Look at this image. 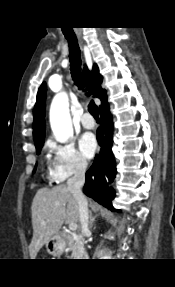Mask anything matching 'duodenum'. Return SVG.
I'll use <instances>...</instances> for the list:
<instances>
[{"label":"duodenum","instance_id":"410a0bca","mask_svg":"<svg viewBox=\"0 0 175 287\" xmlns=\"http://www.w3.org/2000/svg\"><path fill=\"white\" fill-rule=\"evenodd\" d=\"M87 255L85 253L82 254V258H86Z\"/></svg>","mask_w":175,"mask_h":287}]
</instances>
